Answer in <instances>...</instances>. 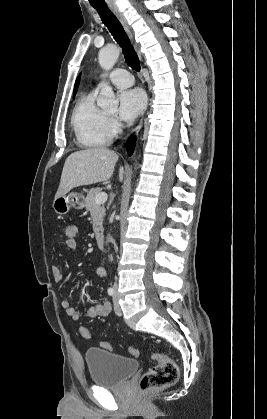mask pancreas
Wrapping results in <instances>:
<instances>
[{
    "label": "pancreas",
    "mask_w": 267,
    "mask_h": 419,
    "mask_svg": "<svg viewBox=\"0 0 267 419\" xmlns=\"http://www.w3.org/2000/svg\"><path fill=\"white\" fill-rule=\"evenodd\" d=\"M101 193V188H92L86 197V209L91 213L93 230L98 238L102 232V222L105 216V208L103 204L96 203V195Z\"/></svg>",
    "instance_id": "pancreas-1"
}]
</instances>
